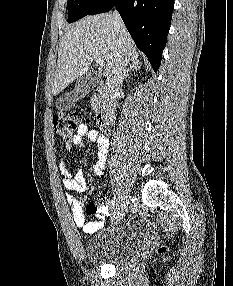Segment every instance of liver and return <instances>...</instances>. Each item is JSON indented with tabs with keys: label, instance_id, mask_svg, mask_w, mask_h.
Wrapping results in <instances>:
<instances>
[{
	"label": "liver",
	"instance_id": "1",
	"mask_svg": "<svg viewBox=\"0 0 233 286\" xmlns=\"http://www.w3.org/2000/svg\"><path fill=\"white\" fill-rule=\"evenodd\" d=\"M120 50L126 53L128 60L139 57L125 27L115 29L112 14L87 16L80 20L60 40L52 94L58 95L69 83L87 73L96 58L105 62L103 76L111 77L116 54Z\"/></svg>",
	"mask_w": 233,
	"mask_h": 286
}]
</instances>
